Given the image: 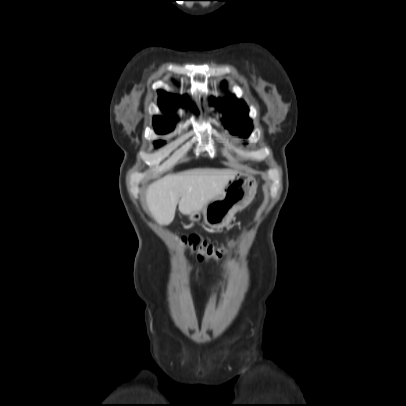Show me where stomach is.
I'll use <instances>...</instances> for the list:
<instances>
[{
  "label": "stomach",
  "mask_w": 406,
  "mask_h": 406,
  "mask_svg": "<svg viewBox=\"0 0 406 406\" xmlns=\"http://www.w3.org/2000/svg\"><path fill=\"white\" fill-rule=\"evenodd\" d=\"M256 190L257 182L254 177L237 173L218 197L210 200L201 211L191 213L189 220L199 222L202 215L207 226L222 229L229 225L236 212L251 203Z\"/></svg>",
  "instance_id": "0dacf381"
}]
</instances>
